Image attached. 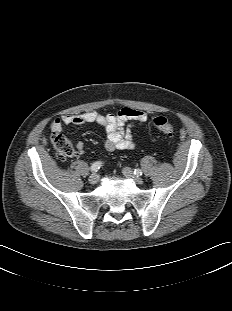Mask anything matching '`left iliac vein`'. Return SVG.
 Segmentation results:
<instances>
[{
  "mask_svg": "<svg viewBox=\"0 0 232 311\" xmlns=\"http://www.w3.org/2000/svg\"><path fill=\"white\" fill-rule=\"evenodd\" d=\"M122 173H123V175L125 177L132 179L137 184H142L143 183V179L141 177H138V176L134 175L132 169L129 168V167H124L122 169Z\"/></svg>",
  "mask_w": 232,
  "mask_h": 311,
  "instance_id": "obj_1",
  "label": "left iliac vein"
}]
</instances>
